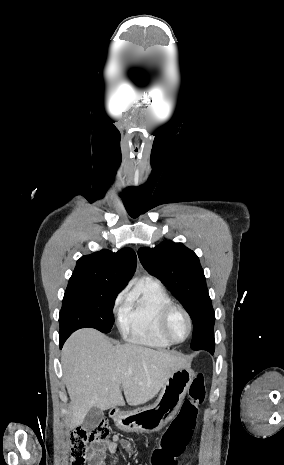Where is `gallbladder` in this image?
Returning <instances> with one entry per match:
<instances>
[{
	"instance_id": "obj_1",
	"label": "gallbladder",
	"mask_w": 284,
	"mask_h": 465,
	"mask_svg": "<svg viewBox=\"0 0 284 465\" xmlns=\"http://www.w3.org/2000/svg\"><path fill=\"white\" fill-rule=\"evenodd\" d=\"M103 417V411H99L96 407H92L84 419L83 427H86V429H96V427L100 425Z\"/></svg>"
}]
</instances>
